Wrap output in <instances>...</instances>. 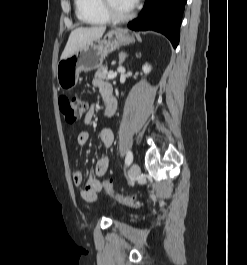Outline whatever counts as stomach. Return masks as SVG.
I'll return each instance as SVG.
<instances>
[{"label":"stomach","mask_w":247,"mask_h":265,"mask_svg":"<svg viewBox=\"0 0 247 265\" xmlns=\"http://www.w3.org/2000/svg\"><path fill=\"white\" fill-rule=\"evenodd\" d=\"M131 37L124 29L109 31L98 43H88L71 56L61 59L56 67V78L62 90L73 89L79 74L99 68L105 57L124 43H132Z\"/></svg>","instance_id":"obj_1"}]
</instances>
